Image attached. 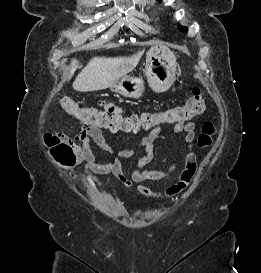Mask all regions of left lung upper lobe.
I'll use <instances>...</instances> for the list:
<instances>
[{"label":"left lung upper lobe","mask_w":261,"mask_h":273,"mask_svg":"<svg viewBox=\"0 0 261 273\" xmlns=\"http://www.w3.org/2000/svg\"><path fill=\"white\" fill-rule=\"evenodd\" d=\"M158 1H160V0H158ZM178 28H179L180 31H184V32H187V31H188V28L185 27V26H180V25H179Z\"/></svg>","instance_id":"obj_1"}]
</instances>
